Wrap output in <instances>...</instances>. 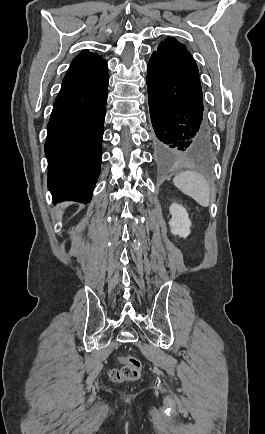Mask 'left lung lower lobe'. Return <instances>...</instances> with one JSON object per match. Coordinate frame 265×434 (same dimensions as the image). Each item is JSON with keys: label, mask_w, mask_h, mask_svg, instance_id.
I'll list each match as a JSON object with an SVG mask.
<instances>
[{"label": "left lung lower lobe", "mask_w": 265, "mask_h": 434, "mask_svg": "<svg viewBox=\"0 0 265 434\" xmlns=\"http://www.w3.org/2000/svg\"><path fill=\"white\" fill-rule=\"evenodd\" d=\"M151 142L160 154H206L213 146L203 95L161 56L147 72Z\"/></svg>", "instance_id": "obj_1"}]
</instances>
